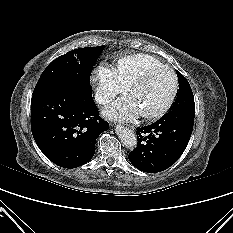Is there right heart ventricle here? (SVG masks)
<instances>
[{
	"label": "right heart ventricle",
	"mask_w": 233,
	"mask_h": 233,
	"mask_svg": "<svg viewBox=\"0 0 233 233\" xmlns=\"http://www.w3.org/2000/svg\"><path fill=\"white\" fill-rule=\"evenodd\" d=\"M163 65L158 59L147 54H134L121 58L117 63V72L128 86L141 72L152 66Z\"/></svg>",
	"instance_id": "right-heart-ventricle-1"
}]
</instances>
